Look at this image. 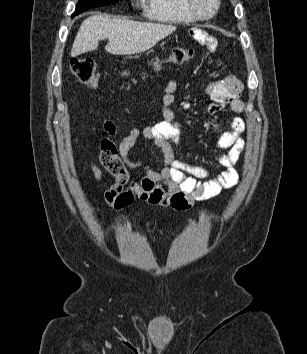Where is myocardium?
<instances>
[{
	"label": "myocardium",
	"instance_id": "myocardium-1",
	"mask_svg": "<svg viewBox=\"0 0 307 354\" xmlns=\"http://www.w3.org/2000/svg\"><path fill=\"white\" fill-rule=\"evenodd\" d=\"M185 8L188 11V13L193 16L197 20H208L213 18L220 7V0H214V7L212 11L208 14H203L201 13L197 6H196V1L195 0H184Z\"/></svg>",
	"mask_w": 307,
	"mask_h": 354
}]
</instances>
